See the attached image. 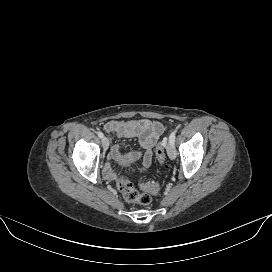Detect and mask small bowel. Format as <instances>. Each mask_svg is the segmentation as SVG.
Instances as JSON below:
<instances>
[{
	"label": "small bowel",
	"instance_id": "1",
	"mask_svg": "<svg viewBox=\"0 0 272 272\" xmlns=\"http://www.w3.org/2000/svg\"><path fill=\"white\" fill-rule=\"evenodd\" d=\"M104 130L114 133L120 138H136L141 152H129L123 154L121 145H114L111 149V156L115 159L132 161L142 157V167L147 168L152 161L153 147L164 133L165 127L157 121L148 119H132L128 121H108L103 126Z\"/></svg>",
	"mask_w": 272,
	"mask_h": 272
}]
</instances>
